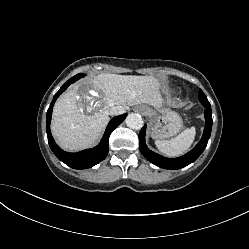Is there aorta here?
<instances>
[{
	"instance_id": "obj_1",
	"label": "aorta",
	"mask_w": 249,
	"mask_h": 249,
	"mask_svg": "<svg viewBox=\"0 0 249 249\" xmlns=\"http://www.w3.org/2000/svg\"><path fill=\"white\" fill-rule=\"evenodd\" d=\"M126 125L135 130H139L143 126V119L139 114L131 113L126 117Z\"/></svg>"
}]
</instances>
